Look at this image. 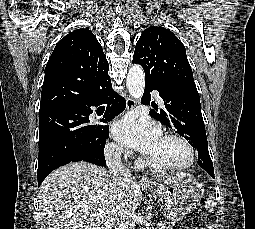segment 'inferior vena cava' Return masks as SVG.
Listing matches in <instances>:
<instances>
[{
	"instance_id": "1",
	"label": "inferior vena cava",
	"mask_w": 255,
	"mask_h": 229,
	"mask_svg": "<svg viewBox=\"0 0 255 229\" xmlns=\"http://www.w3.org/2000/svg\"><path fill=\"white\" fill-rule=\"evenodd\" d=\"M123 148L113 147L106 152L107 166L113 177L119 180H128L131 178V171L124 167L121 161ZM119 229H135L134 216L127 213L125 217L118 221Z\"/></svg>"
}]
</instances>
